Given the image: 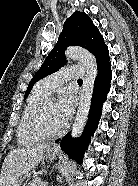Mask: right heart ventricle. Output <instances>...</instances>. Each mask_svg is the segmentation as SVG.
Returning a JSON list of instances; mask_svg holds the SVG:
<instances>
[{"instance_id": "obj_1", "label": "right heart ventricle", "mask_w": 138, "mask_h": 186, "mask_svg": "<svg viewBox=\"0 0 138 186\" xmlns=\"http://www.w3.org/2000/svg\"><path fill=\"white\" fill-rule=\"evenodd\" d=\"M48 93L39 82L32 90L25 108L23 110L18 128H17V142L21 146H30L36 143L39 139L32 136L27 130V120L32 110L45 98L49 96Z\"/></svg>"}]
</instances>
